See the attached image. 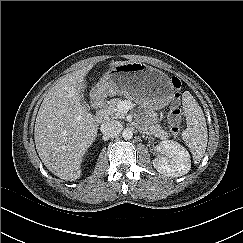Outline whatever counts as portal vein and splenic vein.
Here are the masks:
<instances>
[{"instance_id":"1","label":"portal vein and splenic vein","mask_w":243,"mask_h":243,"mask_svg":"<svg viewBox=\"0 0 243 243\" xmlns=\"http://www.w3.org/2000/svg\"><path fill=\"white\" fill-rule=\"evenodd\" d=\"M129 105H130V103L125 101V102L121 103L120 108L128 109L130 107Z\"/></svg>"}]
</instances>
